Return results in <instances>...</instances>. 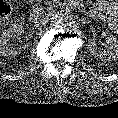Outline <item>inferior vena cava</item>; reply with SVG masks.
Instances as JSON below:
<instances>
[{
  "label": "inferior vena cava",
  "mask_w": 118,
  "mask_h": 118,
  "mask_svg": "<svg viewBox=\"0 0 118 118\" xmlns=\"http://www.w3.org/2000/svg\"><path fill=\"white\" fill-rule=\"evenodd\" d=\"M45 17L43 16V17H40L39 19H37L36 21H35V24L36 25H40V24H42L44 21H45Z\"/></svg>",
  "instance_id": "obj_1"
}]
</instances>
